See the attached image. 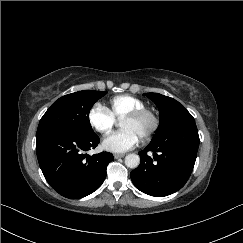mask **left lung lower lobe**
Returning a JSON list of instances; mask_svg holds the SVG:
<instances>
[{
    "label": "left lung lower lobe",
    "mask_w": 243,
    "mask_h": 243,
    "mask_svg": "<svg viewBox=\"0 0 243 243\" xmlns=\"http://www.w3.org/2000/svg\"><path fill=\"white\" fill-rule=\"evenodd\" d=\"M196 124L186 125L165 138L151 141L140 155V165L130 173L135 187L157 197L181 189L193 170L199 147Z\"/></svg>",
    "instance_id": "left-lung-lower-lobe-1"
}]
</instances>
